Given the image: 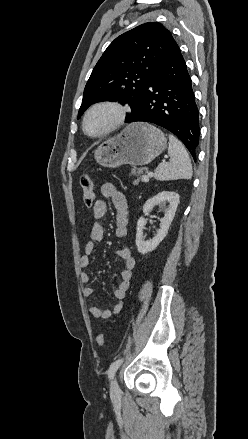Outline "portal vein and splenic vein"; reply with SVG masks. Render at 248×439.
<instances>
[{"instance_id": "18ae733b", "label": "portal vein and splenic vein", "mask_w": 248, "mask_h": 439, "mask_svg": "<svg viewBox=\"0 0 248 439\" xmlns=\"http://www.w3.org/2000/svg\"><path fill=\"white\" fill-rule=\"evenodd\" d=\"M148 176H152V172H149L148 173ZM148 176H143V178H142V180L144 181V182H148L149 181V177Z\"/></svg>"}]
</instances>
